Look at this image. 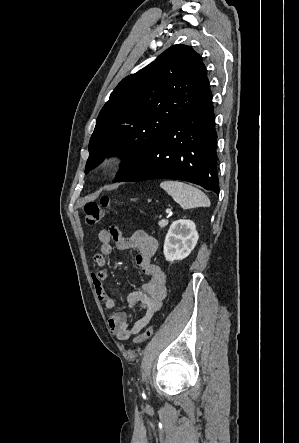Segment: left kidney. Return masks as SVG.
<instances>
[{"label":"left kidney","instance_id":"1","mask_svg":"<svg viewBox=\"0 0 299 443\" xmlns=\"http://www.w3.org/2000/svg\"><path fill=\"white\" fill-rule=\"evenodd\" d=\"M199 239L195 223L191 220L174 221L165 237L163 253L167 261L183 260L195 248Z\"/></svg>","mask_w":299,"mask_h":443}]
</instances>
